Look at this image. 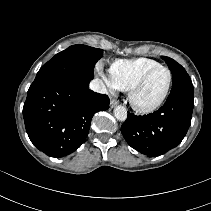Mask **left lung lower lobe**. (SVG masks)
<instances>
[{"label": "left lung lower lobe", "instance_id": "1", "mask_svg": "<svg viewBox=\"0 0 211 211\" xmlns=\"http://www.w3.org/2000/svg\"><path fill=\"white\" fill-rule=\"evenodd\" d=\"M194 93H170L156 112L136 116L128 112L121 132L127 143L147 156L166 153L185 137L192 117Z\"/></svg>", "mask_w": 211, "mask_h": 211}]
</instances>
